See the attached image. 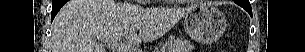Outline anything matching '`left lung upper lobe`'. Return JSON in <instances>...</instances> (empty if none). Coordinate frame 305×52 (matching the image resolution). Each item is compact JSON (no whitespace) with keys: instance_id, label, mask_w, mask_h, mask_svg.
<instances>
[{"instance_id":"1","label":"left lung upper lobe","mask_w":305,"mask_h":52,"mask_svg":"<svg viewBox=\"0 0 305 52\" xmlns=\"http://www.w3.org/2000/svg\"><path fill=\"white\" fill-rule=\"evenodd\" d=\"M235 3L243 7L250 15H252V9L249 0H236Z\"/></svg>"}]
</instances>
